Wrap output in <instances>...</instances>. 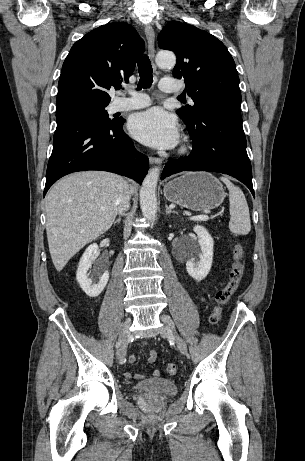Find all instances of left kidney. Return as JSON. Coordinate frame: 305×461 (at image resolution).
Returning <instances> with one entry per match:
<instances>
[{"label": "left kidney", "instance_id": "left-kidney-1", "mask_svg": "<svg viewBox=\"0 0 305 461\" xmlns=\"http://www.w3.org/2000/svg\"><path fill=\"white\" fill-rule=\"evenodd\" d=\"M193 230L198 236V245L192 243L187 247L189 259L186 262V270L196 281H201L208 275L212 266L214 241L203 226L197 225Z\"/></svg>", "mask_w": 305, "mask_h": 461}]
</instances>
